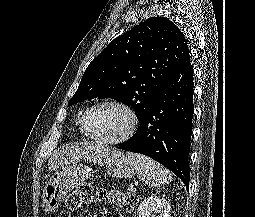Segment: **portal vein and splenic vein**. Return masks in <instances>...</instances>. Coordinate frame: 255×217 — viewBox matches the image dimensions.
Returning a JSON list of instances; mask_svg holds the SVG:
<instances>
[{"label": "portal vein and splenic vein", "instance_id": "1", "mask_svg": "<svg viewBox=\"0 0 255 217\" xmlns=\"http://www.w3.org/2000/svg\"><path fill=\"white\" fill-rule=\"evenodd\" d=\"M128 190H129L130 192H135V191H136V189L134 188L133 185H130V187L128 188Z\"/></svg>", "mask_w": 255, "mask_h": 217}]
</instances>
